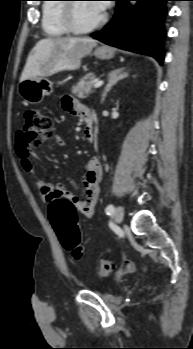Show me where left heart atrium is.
<instances>
[{
	"label": "left heart atrium",
	"mask_w": 193,
	"mask_h": 349,
	"mask_svg": "<svg viewBox=\"0 0 193 349\" xmlns=\"http://www.w3.org/2000/svg\"><path fill=\"white\" fill-rule=\"evenodd\" d=\"M93 6L101 13H103L108 7L107 1H96Z\"/></svg>",
	"instance_id": "obj_1"
}]
</instances>
